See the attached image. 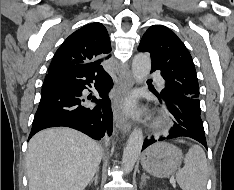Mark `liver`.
<instances>
[{
    "label": "liver",
    "mask_w": 234,
    "mask_h": 190,
    "mask_svg": "<svg viewBox=\"0 0 234 190\" xmlns=\"http://www.w3.org/2000/svg\"><path fill=\"white\" fill-rule=\"evenodd\" d=\"M102 156L101 147L79 131H40L28 144L29 190H84L99 169Z\"/></svg>",
    "instance_id": "6515ba94"
}]
</instances>
